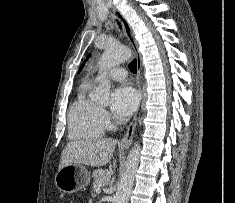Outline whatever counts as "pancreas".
I'll use <instances>...</instances> for the list:
<instances>
[{
    "mask_svg": "<svg viewBox=\"0 0 235 203\" xmlns=\"http://www.w3.org/2000/svg\"><path fill=\"white\" fill-rule=\"evenodd\" d=\"M94 182L93 189L106 186L109 184L111 175L108 170L98 169L93 172Z\"/></svg>",
    "mask_w": 235,
    "mask_h": 203,
    "instance_id": "obj_1",
    "label": "pancreas"
}]
</instances>
